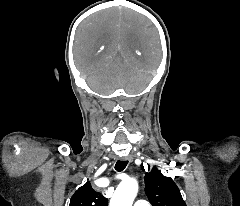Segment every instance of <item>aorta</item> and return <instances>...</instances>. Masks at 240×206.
<instances>
[{
  "label": "aorta",
  "mask_w": 240,
  "mask_h": 206,
  "mask_svg": "<svg viewBox=\"0 0 240 206\" xmlns=\"http://www.w3.org/2000/svg\"><path fill=\"white\" fill-rule=\"evenodd\" d=\"M138 192V183L134 179L122 181L110 200L109 206H132Z\"/></svg>",
  "instance_id": "aorta-1"
}]
</instances>
